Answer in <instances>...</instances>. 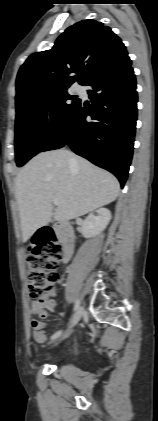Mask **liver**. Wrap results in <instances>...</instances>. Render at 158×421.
<instances>
[{
  "mask_svg": "<svg viewBox=\"0 0 158 421\" xmlns=\"http://www.w3.org/2000/svg\"><path fill=\"white\" fill-rule=\"evenodd\" d=\"M119 191L115 176L70 151L37 154L15 180L23 241L52 217L58 222L75 219L113 202ZM55 199L59 205L53 213Z\"/></svg>",
  "mask_w": 158,
  "mask_h": 421,
  "instance_id": "6515ba94",
  "label": "liver"
}]
</instances>
